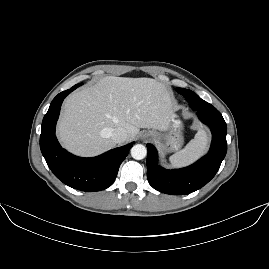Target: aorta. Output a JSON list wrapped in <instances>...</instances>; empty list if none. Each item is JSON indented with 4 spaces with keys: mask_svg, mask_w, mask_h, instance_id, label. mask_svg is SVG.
Segmentation results:
<instances>
[{
    "mask_svg": "<svg viewBox=\"0 0 269 269\" xmlns=\"http://www.w3.org/2000/svg\"><path fill=\"white\" fill-rule=\"evenodd\" d=\"M146 154V147L142 144H136L131 148V156L136 160L145 158Z\"/></svg>",
    "mask_w": 269,
    "mask_h": 269,
    "instance_id": "762f6f07",
    "label": "aorta"
}]
</instances>
